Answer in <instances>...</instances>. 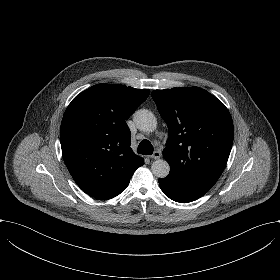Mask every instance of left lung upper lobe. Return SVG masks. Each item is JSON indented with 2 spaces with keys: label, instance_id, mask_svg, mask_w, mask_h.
<instances>
[{
  "label": "left lung upper lobe",
  "instance_id": "obj_1",
  "mask_svg": "<svg viewBox=\"0 0 280 280\" xmlns=\"http://www.w3.org/2000/svg\"><path fill=\"white\" fill-rule=\"evenodd\" d=\"M169 130L163 157L167 178L179 186H213L222 174L233 143L227 108L199 87L154 90L151 93Z\"/></svg>",
  "mask_w": 280,
  "mask_h": 280
}]
</instances>
